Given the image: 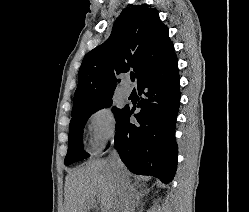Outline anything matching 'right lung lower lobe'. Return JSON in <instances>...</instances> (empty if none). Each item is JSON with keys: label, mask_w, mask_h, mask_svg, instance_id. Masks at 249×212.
<instances>
[{"label": "right lung lower lobe", "mask_w": 249, "mask_h": 212, "mask_svg": "<svg viewBox=\"0 0 249 212\" xmlns=\"http://www.w3.org/2000/svg\"><path fill=\"white\" fill-rule=\"evenodd\" d=\"M138 91L144 95L137 105L141 110L134 115L138 123L129 122L135 107L125 106L116 122L115 147L131 172L171 182L177 168L175 122L180 101L175 53L138 84Z\"/></svg>", "instance_id": "right-lung-lower-lobe-1"}]
</instances>
